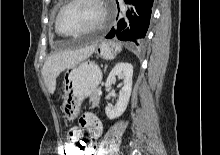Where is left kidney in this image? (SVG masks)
I'll list each match as a JSON object with an SVG mask.
<instances>
[{
	"label": "left kidney",
	"instance_id": "obj_1",
	"mask_svg": "<svg viewBox=\"0 0 220 155\" xmlns=\"http://www.w3.org/2000/svg\"><path fill=\"white\" fill-rule=\"evenodd\" d=\"M118 78L123 79V87L119 92V99L115 107H106L105 113L107 117L112 120L120 117L126 110L131 90H132V77H133V66L128 62L117 63L108 75L105 86L109 89L114 80Z\"/></svg>",
	"mask_w": 220,
	"mask_h": 155
}]
</instances>
